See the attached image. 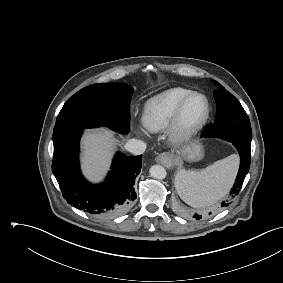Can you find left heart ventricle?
Listing matches in <instances>:
<instances>
[{"label": "left heart ventricle", "instance_id": "obj_1", "mask_svg": "<svg viewBox=\"0 0 283 283\" xmlns=\"http://www.w3.org/2000/svg\"><path fill=\"white\" fill-rule=\"evenodd\" d=\"M204 112V102L202 98L195 96L191 98L186 104L182 121L185 126L192 125L196 123L202 116Z\"/></svg>", "mask_w": 283, "mask_h": 283}]
</instances>
